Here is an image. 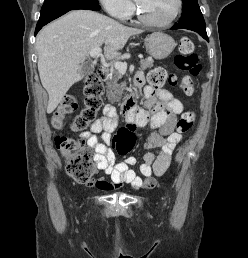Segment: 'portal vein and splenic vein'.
Instances as JSON below:
<instances>
[{
    "mask_svg": "<svg viewBox=\"0 0 248 258\" xmlns=\"http://www.w3.org/2000/svg\"><path fill=\"white\" fill-rule=\"evenodd\" d=\"M89 55L93 58H97L101 55L100 48H94L90 51ZM141 58V57H140ZM114 67L121 73H125L127 70V64L125 62L116 61Z\"/></svg>",
    "mask_w": 248,
    "mask_h": 258,
    "instance_id": "portal-vein-and-splenic-vein-1",
    "label": "portal vein and splenic vein"
}]
</instances>
